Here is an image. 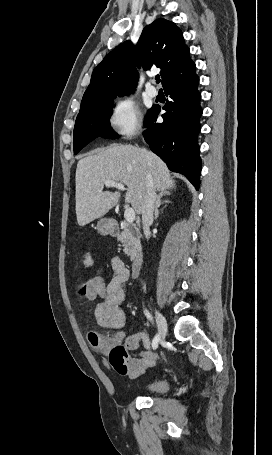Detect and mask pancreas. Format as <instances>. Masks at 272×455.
I'll return each mask as SVG.
<instances>
[{"instance_id":"1","label":"pancreas","mask_w":272,"mask_h":455,"mask_svg":"<svg viewBox=\"0 0 272 455\" xmlns=\"http://www.w3.org/2000/svg\"><path fill=\"white\" fill-rule=\"evenodd\" d=\"M117 239L123 243L124 253L131 260H135L141 251L139 229L136 226L125 223L122 232L117 235Z\"/></svg>"}]
</instances>
